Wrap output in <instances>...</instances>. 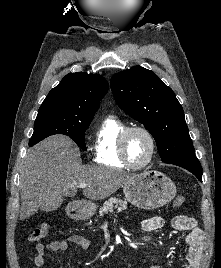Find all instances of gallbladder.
I'll use <instances>...</instances> for the list:
<instances>
[{
    "instance_id": "obj_1",
    "label": "gallbladder",
    "mask_w": 221,
    "mask_h": 268,
    "mask_svg": "<svg viewBox=\"0 0 221 268\" xmlns=\"http://www.w3.org/2000/svg\"><path fill=\"white\" fill-rule=\"evenodd\" d=\"M60 204H63V199H42L41 205H38L37 209L51 212L60 207Z\"/></svg>"
}]
</instances>
